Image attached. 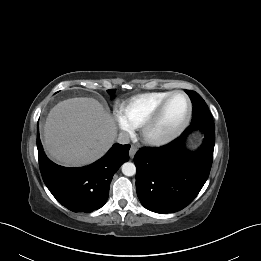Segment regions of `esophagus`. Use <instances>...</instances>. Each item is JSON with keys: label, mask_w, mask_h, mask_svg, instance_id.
<instances>
[{"label": "esophagus", "mask_w": 261, "mask_h": 261, "mask_svg": "<svg viewBox=\"0 0 261 261\" xmlns=\"http://www.w3.org/2000/svg\"><path fill=\"white\" fill-rule=\"evenodd\" d=\"M136 151H137V148L134 145H132L130 150H129V155H130L131 158L134 157Z\"/></svg>", "instance_id": "1"}]
</instances>
